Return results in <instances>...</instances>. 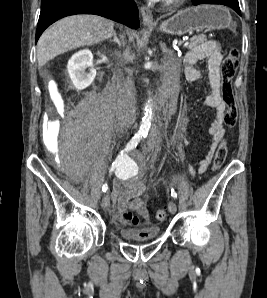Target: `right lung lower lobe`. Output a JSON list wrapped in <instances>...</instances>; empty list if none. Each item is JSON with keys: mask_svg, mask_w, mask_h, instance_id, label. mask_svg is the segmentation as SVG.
Listing matches in <instances>:
<instances>
[{"mask_svg": "<svg viewBox=\"0 0 267 298\" xmlns=\"http://www.w3.org/2000/svg\"><path fill=\"white\" fill-rule=\"evenodd\" d=\"M74 14H95L137 29L138 8L133 0H42L36 42L42 32L60 18Z\"/></svg>", "mask_w": 267, "mask_h": 298, "instance_id": "obj_1", "label": "right lung lower lobe"}]
</instances>
